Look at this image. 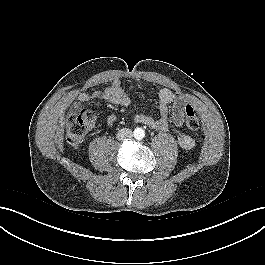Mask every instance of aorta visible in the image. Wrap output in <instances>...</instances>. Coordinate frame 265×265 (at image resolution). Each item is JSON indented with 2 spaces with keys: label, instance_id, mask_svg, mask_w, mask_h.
I'll use <instances>...</instances> for the list:
<instances>
[{
  "label": "aorta",
  "instance_id": "1",
  "mask_svg": "<svg viewBox=\"0 0 265 265\" xmlns=\"http://www.w3.org/2000/svg\"><path fill=\"white\" fill-rule=\"evenodd\" d=\"M134 135H135V138H136V139H142V138H144L145 133H144V130H143V129H141V128H137V129L135 130Z\"/></svg>",
  "mask_w": 265,
  "mask_h": 265
}]
</instances>
